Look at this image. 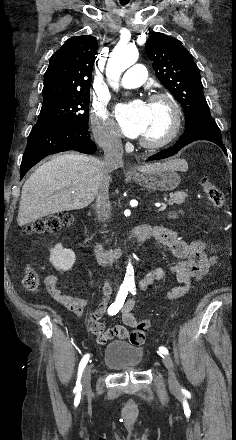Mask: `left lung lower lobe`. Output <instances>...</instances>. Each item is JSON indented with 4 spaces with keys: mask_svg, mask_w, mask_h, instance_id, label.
I'll return each instance as SVG.
<instances>
[{
    "mask_svg": "<svg viewBox=\"0 0 236 440\" xmlns=\"http://www.w3.org/2000/svg\"><path fill=\"white\" fill-rule=\"evenodd\" d=\"M197 140L211 141L217 144L224 151V153L227 154V150L222 142L220 130L216 122L213 120L211 115H207L196 121L190 127L186 128L184 134L172 148L161 151L149 157L148 160L153 161L173 156L184 146Z\"/></svg>",
    "mask_w": 236,
    "mask_h": 440,
    "instance_id": "obj_1",
    "label": "left lung lower lobe"
}]
</instances>
